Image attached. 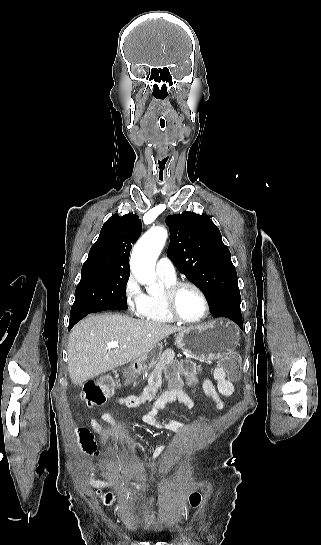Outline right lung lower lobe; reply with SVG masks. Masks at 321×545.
Returning a JSON list of instances; mask_svg holds the SVG:
<instances>
[{
  "mask_svg": "<svg viewBox=\"0 0 321 545\" xmlns=\"http://www.w3.org/2000/svg\"><path fill=\"white\" fill-rule=\"evenodd\" d=\"M127 309V300L125 301H119L116 304L112 305L109 310H124ZM90 312H83L80 314H76L74 316H70V323H69V330L83 317L88 315Z\"/></svg>",
  "mask_w": 321,
  "mask_h": 545,
  "instance_id": "1",
  "label": "right lung lower lobe"
}]
</instances>
